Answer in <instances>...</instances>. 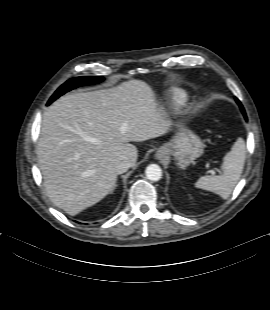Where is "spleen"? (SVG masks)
<instances>
[{
  "label": "spleen",
  "instance_id": "1",
  "mask_svg": "<svg viewBox=\"0 0 270 310\" xmlns=\"http://www.w3.org/2000/svg\"><path fill=\"white\" fill-rule=\"evenodd\" d=\"M245 144L242 139H238L232 146L231 151L223 158V173L217 176L206 175L200 177L195 183V187L214 192L227 199L242 174L245 162Z\"/></svg>",
  "mask_w": 270,
  "mask_h": 310
}]
</instances>
